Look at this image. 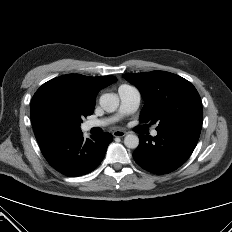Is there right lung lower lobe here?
Returning a JSON list of instances; mask_svg holds the SVG:
<instances>
[{"label":"right lung lower lobe","mask_w":232,"mask_h":232,"mask_svg":"<svg viewBox=\"0 0 232 232\" xmlns=\"http://www.w3.org/2000/svg\"><path fill=\"white\" fill-rule=\"evenodd\" d=\"M84 140L81 130L47 132L37 137L48 163L67 176H81L96 169L113 137L110 133Z\"/></svg>","instance_id":"98d812e1"}]
</instances>
